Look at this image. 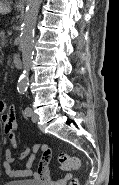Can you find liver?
<instances>
[{"label":"liver","instance_id":"obj_1","mask_svg":"<svg viewBox=\"0 0 119 185\" xmlns=\"http://www.w3.org/2000/svg\"><path fill=\"white\" fill-rule=\"evenodd\" d=\"M9 12H10V8L0 3V13L4 14V13H9Z\"/></svg>","mask_w":119,"mask_h":185}]
</instances>
